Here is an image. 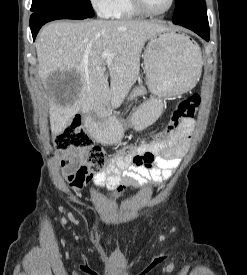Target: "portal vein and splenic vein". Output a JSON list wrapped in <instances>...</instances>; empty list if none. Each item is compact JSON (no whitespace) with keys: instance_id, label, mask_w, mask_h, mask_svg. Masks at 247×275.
Instances as JSON below:
<instances>
[{"instance_id":"1","label":"portal vein and splenic vein","mask_w":247,"mask_h":275,"mask_svg":"<svg viewBox=\"0 0 247 275\" xmlns=\"http://www.w3.org/2000/svg\"><path fill=\"white\" fill-rule=\"evenodd\" d=\"M102 59L105 60V62L110 63L112 58L114 57V53L111 52L110 50H105L102 55Z\"/></svg>"}]
</instances>
